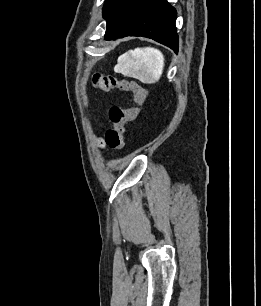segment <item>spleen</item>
Listing matches in <instances>:
<instances>
[{"mask_svg": "<svg viewBox=\"0 0 261 306\" xmlns=\"http://www.w3.org/2000/svg\"><path fill=\"white\" fill-rule=\"evenodd\" d=\"M163 68L164 56L161 51L152 47H144L121 55L114 69L124 76L152 84L159 81Z\"/></svg>", "mask_w": 261, "mask_h": 306, "instance_id": "1", "label": "spleen"}]
</instances>
